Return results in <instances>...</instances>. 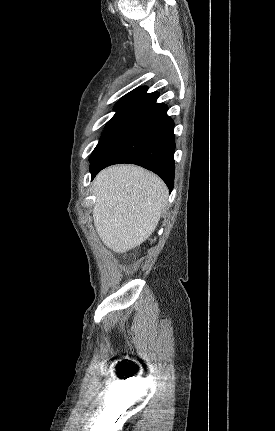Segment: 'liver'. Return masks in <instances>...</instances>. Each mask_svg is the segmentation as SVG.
<instances>
[{
    "label": "liver",
    "mask_w": 275,
    "mask_h": 431,
    "mask_svg": "<svg viewBox=\"0 0 275 431\" xmlns=\"http://www.w3.org/2000/svg\"><path fill=\"white\" fill-rule=\"evenodd\" d=\"M93 193L94 226L102 242L116 253H125L150 237L169 194L157 175L133 165L101 171Z\"/></svg>",
    "instance_id": "obj_1"
}]
</instances>
